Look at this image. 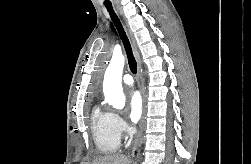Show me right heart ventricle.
<instances>
[{
  "label": "right heart ventricle",
  "mask_w": 251,
  "mask_h": 164,
  "mask_svg": "<svg viewBox=\"0 0 251 164\" xmlns=\"http://www.w3.org/2000/svg\"><path fill=\"white\" fill-rule=\"evenodd\" d=\"M91 130L97 151L100 154H112L119 146L120 137L113 126V114L93 107L91 112Z\"/></svg>",
  "instance_id": "right-heart-ventricle-1"
}]
</instances>
